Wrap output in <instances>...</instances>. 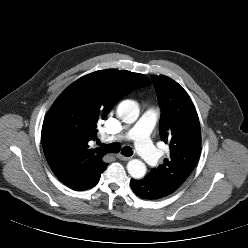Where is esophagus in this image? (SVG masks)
I'll return each instance as SVG.
<instances>
[{
    "instance_id": "34e87169",
    "label": "esophagus",
    "mask_w": 248,
    "mask_h": 248,
    "mask_svg": "<svg viewBox=\"0 0 248 248\" xmlns=\"http://www.w3.org/2000/svg\"><path fill=\"white\" fill-rule=\"evenodd\" d=\"M117 158L120 159V160H123V161H128V160L131 159V157H126V156H124L122 154H118Z\"/></svg>"
}]
</instances>
